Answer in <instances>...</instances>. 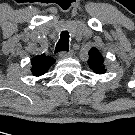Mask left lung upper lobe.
Returning a JSON list of instances; mask_svg holds the SVG:
<instances>
[{"label":"left lung upper lobe","mask_w":135,"mask_h":135,"mask_svg":"<svg viewBox=\"0 0 135 135\" xmlns=\"http://www.w3.org/2000/svg\"><path fill=\"white\" fill-rule=\"evenodd\" d=\"M87 63L89 67L97 74H103L106 72V69L103 65L104 58L96 48H92L89 51V59Z\"/></svg>","instance_id":"1"}]
</instances>
